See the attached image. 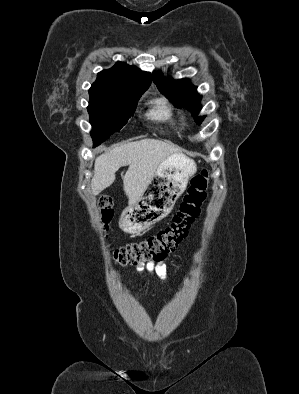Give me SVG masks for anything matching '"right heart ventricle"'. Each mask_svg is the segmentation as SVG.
<instances>
[{
    "instance_id": "1",
    "label": "right heart ventricle",
    "mask_w": 299,
    "mask_h": 394,
    "mask_svg": "<svg viewBox=\"0 0 299 394\" xmlns=\"http://www.w3.org/2000/svg\"><path fill=\"white\" fill-rule=\"evenodd\" d=\"M147 116L154 122L170 123L174 119V112L164 98H158L152 101Z\"/></svg>"
}]
</instances>
